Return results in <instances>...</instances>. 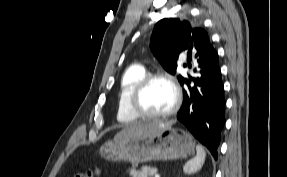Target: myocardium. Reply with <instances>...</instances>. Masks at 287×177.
I'll return each mask as SVG.
<instances>
[{
  "label": "myocardium",
  "mask_w": 287,
  "mask_h": 177,
  "mask_svg": "<svg viewBox=\"0 0 287 177\" xmlns=\"http://www.w3.org/2000/svg\"><path fill=\"white\" fill-rule=\"evenodd\" d=\"M161 80L166 82L174 93V103L172 107L166 112L155 114L145 111L140 105V98L147 86L153 81ZM181 105V91L175 80L168 74L163 72L146 74L135 86L130 96L131 110L141 118L146 119H163L175 114Z\"/></svg>",
  "instance_id": "f54148a6"
}]
</instances>
